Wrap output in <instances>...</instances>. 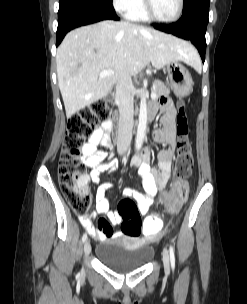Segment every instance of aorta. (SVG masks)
I'll return each instance as SVG.
<instances>
[{"mask_svg": "<svg viewBox=\"0 0 247 304\" xmlns=\"http://www.w3.org/2000/svg\"><path fill=\"white\" fill-rule=\"evenodd\" d=\"M146 129H147V104H146V96L143 93L140 101L139 123L137 127V135L135 141L136 149H140L142 147L146 134Z\"/></svg>", "mask_w": 247, "mask_h": 304, "instance_id": "aorta-1", "label": "aorta"}]
</instances>
